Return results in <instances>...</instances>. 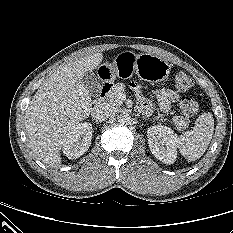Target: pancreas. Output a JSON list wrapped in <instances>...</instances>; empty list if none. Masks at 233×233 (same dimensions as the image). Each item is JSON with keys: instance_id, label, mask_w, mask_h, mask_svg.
<instances>
[{"instance_id": "obj_1", "label": "pancreas", "mask_w": 233, "mask_h": 233, "mask_svg": "<svg viewBox=\"0 0 233 233\" xmlns=\"http://www.w3.org/2000/svg\"><path fill=\"white\" fill-rule=\"evenodd\" d=\"M124 91L125 85H123L122 83L115 84L106 97L108 104L111 107H120L123 104L120 95L123 94ZM157 118L162 119L163 115L159 114ZM172 122L176 125L177 130L182 131L188 127L190 120L188 118H184L183 116H174L172 118Z\"/></svg>"}]
</instances>
